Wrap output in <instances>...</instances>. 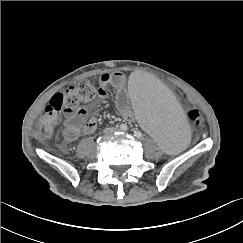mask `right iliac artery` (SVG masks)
Wrapping results in <instances>:
<instances>
[{
    "label": "right iliac artery",
    "mask_w": 243,
    "mask_h": 243,
    "mask_svg": "<svg viewBox=\"0 0 243 243\" xmlns=\"http://www.w3.org/2000/svg\"><path fill=\"white\" fill-rule=\"evenodd\" d=\"M120 129H121L122 131H126V130H128V126H127L126 124H121V125H120Z\"/></svg>",
    "instance_id": "right-iliac-artery-1"
}]
</instances>
